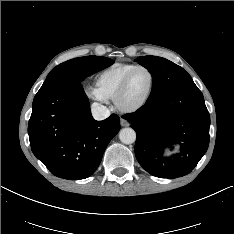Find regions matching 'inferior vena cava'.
I'll use <instances>...</instances> for the list:
<instances>
[{
    "label": "inferior vena cava",
    "instance_id": "obj_1",
    "mask_svg": "<svg viewBox=\"0 0 234 234\" xmlns=\"http://www.w3.org/2000/svg\"><path fill=\"white\" fill-rule=\"evenodd\" d=\"M91 113H92L93 118L97 121L104 120L110 116L109 109L100 103L92 104Z\"/></svg>",
    "mask_w": 234,
    "mask_h": 234
}]
</instances>
